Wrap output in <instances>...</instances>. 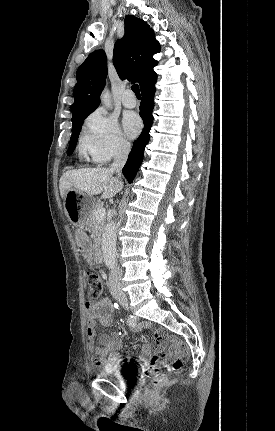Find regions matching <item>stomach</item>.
<instances>
[{
  "instance_id": "stomach-1",
  "label": "stomach",
  "mask_w": 275,
  "mask_h": 431,
  "mask_svg": "<svg viewBox=\"0 0 275 431\" xmlns=\"http://www.w3.org/2000/svg\"><path fill=\"white\" fill-rule=\"evenodd\" d=\"M94 200L75 189L66 192L64 198V209L70 223L75 227H83L87 222Z\"/></svg>"
}]
</instances>
